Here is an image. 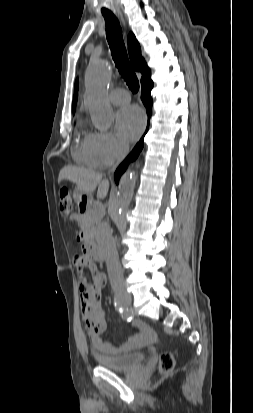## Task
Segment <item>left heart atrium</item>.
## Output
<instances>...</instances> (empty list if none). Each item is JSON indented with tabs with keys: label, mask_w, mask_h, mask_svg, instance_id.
<instances>
[{
	"label": "left heart atrium",
	"mask_w": 253,
	"mask_h": 413,
	"mask_svg": "<svg viewBox=\"0 0 253 413\" xmlns=\"http://www.w3.org/2000/svg\"><path fill=\"white\" fill-rule=\"evenodd\" d=\"M145 116L136 105L122 108L116 115V130L123 141L135 140L143 130Z\"/></svg>",
	"instance_id": "obj_1"
}]
</instances>
